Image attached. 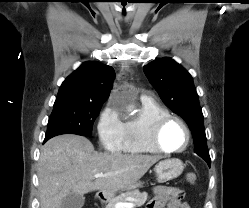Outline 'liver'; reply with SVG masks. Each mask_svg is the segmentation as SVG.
Here are the masks:
<instances>
[{
    "instance_id": "liver-1",
    "label": "liver",
    "mask_w": 249,
    "mask_h": 208,
    "mask_svg": "<svg viewBox=\"0 0 249 208\" xmlns=\"http://www.w3.org/2000/svg\"><path fill=\"white\" fill-rule=\"evenodd\" d=\"M160 157L98 153L85 137L64 134L51 138L38 161L41 208H60L70 193L80 195L127 190L135 185ZM95 174H111L95 178Z\"/></svg>"
}]
</instances>
